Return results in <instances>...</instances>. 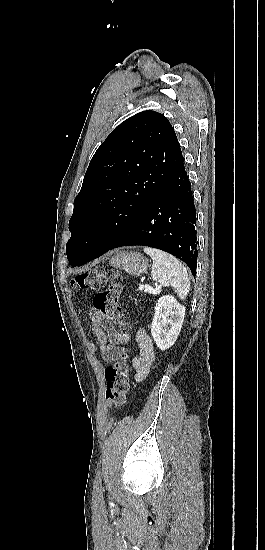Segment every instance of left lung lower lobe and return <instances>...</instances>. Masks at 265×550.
I'll use <instances>...</instances> for the list:
<instances>
[{
	"instance_id": "0a47b994",
	"label": "left lung lower lobe",
	"mask_w": 265,
	"mask_h": 550,
	"mask_svg": "<svg viewBox=\"0 0 265 550\" xmlns=\"http://www.w3.org/2000/svg\"><path fill=\"white\" fill-rule=\"evenodd\" d=\"M143 245L166 251L184 261L193 275L197 265L196 210L184 162L132 225L105 251Z\"/></svg>"
}]
</instances>
